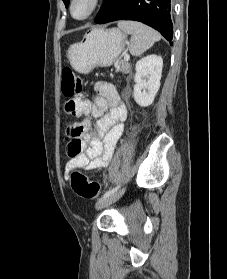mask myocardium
Returning a JSON list of instances; mask_svg holds the SVG:
<instances>
[{"label": "myocardium", "mask_w": 227, "mask_h": 279, "mask_svg": "<svg viewBox=\"0 0 227 279\" xmlns=\"http://www.w3.org/2000/svg\"><path fill=\"white\" fill-rule=\"evenodd\" d=\"M75 2H76V0H70L69 13L74 20L84 21V20L89 19L98 10L101 0H89V9H88L87 13L82 17H76L73 14V6H74Z\"/></svg>", "instance_id": "f54148a6"}]
</instances>
